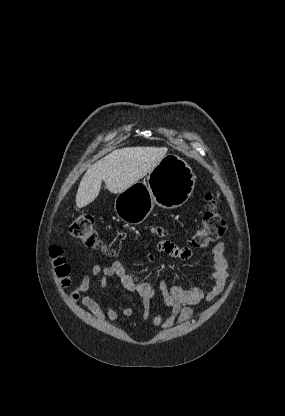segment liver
<instances>
[{
  "mask_svg": "<svg viewBox=\"0 0 285 416\" xmlns=\"http://www.w3.org/2000/svg\"><path fill=\"white\" fill-rule=\"evenodd\" d=\"M168 148H121L88 168L76 194L77 208L99 196L102 182L111 194H120L147 176L163 160Z\"/></svg>",
  "mask_w": 285,
  "mask_h": 416,
  "instance_id": "obj_1",
  "label": "liver"
}]
</instances>
